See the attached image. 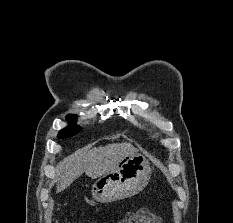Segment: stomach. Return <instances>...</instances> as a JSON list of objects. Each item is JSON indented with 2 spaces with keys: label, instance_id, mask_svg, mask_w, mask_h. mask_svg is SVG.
I'll list each match as a JSON object with an SVG mask.
<instances>
[{
  "label": "stomach",
  "instance_id": "1",
  "mask_svg": "<svg viewBox=\"0 0 233 223\" xmlns=\"http://www.w3.org/2000/svg\"><path fill=\"white\" fill-rule=\"evenodd\" d=\"M152 167L142 153H130L91 185V195L99 203H110L137 195L150 181Z\"/></svg>",
  "mask_w": 233,
  "mask_h": 223
}]
</instances>
